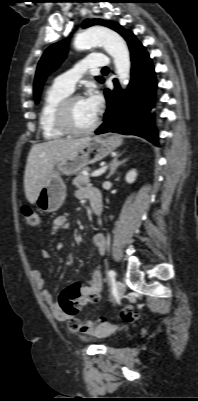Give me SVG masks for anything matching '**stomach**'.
<instances>
[{"mask_svg": "<svg viewBox=\"0 0 198 401\" xmlns=\"http://www.w3.org/2000/svg\"><path fill=\"white\" fill-rule=\"evenodd\" d=\"M122 143V138L116 134L95 136L70 156L58 161L38 195V208L48 213L59 210L66 198V185L61 175L77 174L87 164L104 159Z\"/></svg>", "mask_w": 198, "mask_h": 401, "instance_id": "1", "label": "stomach"}]
</instances>
